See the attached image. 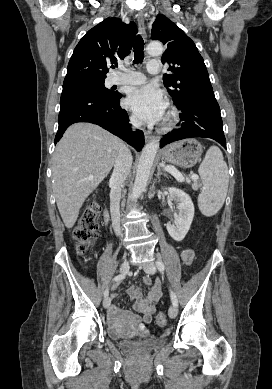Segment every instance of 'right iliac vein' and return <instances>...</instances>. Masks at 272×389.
Wrapping results in <instances>:
<instances>
[{
	"instance_id": "63e3f726",
	"label": "right iliac vein",
	"mask_w": 272,
	"mask_h": 389,
	"mask_svg": "<svg viewBox=\"0 0 272 389\" xmlns=\"http://www.w3.org/2000/svg\"><path fill=\"white\" fill-rule=\"evenodd\" d=\"M128 271H129V262L124 261L119 268V273L120 275H125ZM103 306L104 308H108L110 306V298L108 296L104 298Z\"/></svg>"
}]
</instances>
